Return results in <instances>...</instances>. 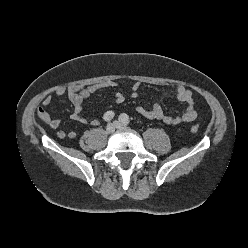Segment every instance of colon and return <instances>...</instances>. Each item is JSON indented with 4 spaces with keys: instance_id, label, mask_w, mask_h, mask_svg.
Returning a JSON list of instances; mask_svg holds the SVG:
<instances>
[{
    "instance_id": "colon-1",
    "label": "colon",
    "mask_w": 248,
    "mask_h": 248,
    "mask_svg": "<svg viewBox=\"0 0 248 248\" xmlns=\"http://www.w3.org/2000/svg\"><path fill=\"white\" fill-rule=\"evenodd\" d=\"M190 130L192 133H197L199 131V127H198V125H192L190 127Z\"/></svg>"
}]
</instances>
